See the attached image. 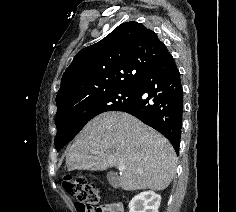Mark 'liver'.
<instances>
[{
	"instance_id": "1",
	"label": "liver",
	"mask_w": 236,
	"mask_h": 212,
	"mask_svg": "<svg viewBox=\"0 0 236 212\" xmlns=\"http://www.w3.org/2000/svg\"><path fill=\"white\" fill-rule=\"evenodd\" d=\"M97 154L91 155L92 151ZM177 158L169 141L124 112H105L89 121L66 155L68 171H104L121 164L119 185L126 191H161L171 183Z\"/></svg>"
}]
</instances>
